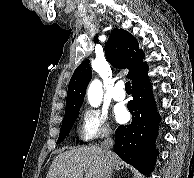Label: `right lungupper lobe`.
<instances>
[{
  "mask_svg": "<svg viewBox=\"0 0 194 178\" xmlns=\"http://www.w3.org/2000/svg\"><path fill=\"white\" fill-rule=\"evenodd\" d=\"M105 54L113 67L129 69L128 78L132 80V85L148 77V67L143 62L144 53L139 49L136 38L126 30L115 28L111 32L105 45ZM91 77L89 60H85L70 79L65 113L80 109Z\"/></svg>",
  "mask_w": 194,
  "mask_h": 178,
  "instance_id": "1",
  "label": "right lung upper lobe"
}]
</instances>
